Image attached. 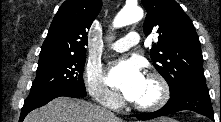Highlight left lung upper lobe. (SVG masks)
<instances>
[{"instance_id":"1","label":"left lung upper lobe","mask_w":221,"mask_h":122,"mask_svg":"<svg viewBox=\"0 0 221 122\" xmlns=\"http://www.w3.org/2000/svg\"><path fill=\"white\" fill-rule=\"evenodd\" d=\"M141 1L147 11L144 33L159 34L150 56L169 84L170 94L186 85H206L199 38L187 14L174 0Z\"/></svg>"}]
</instances>
